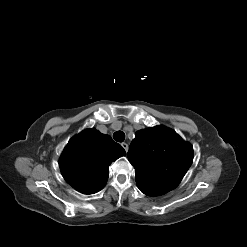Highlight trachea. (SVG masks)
I'll return each instance as SVG.
<instances>
[{"instance_id": "obj_1", "label": "trachea", "mask_w": 247, "mask_h": 247, "mask_svg": "<svg viewBox=\"0 0 247 247\" xmlns=\"http://www.w3.org/2000/svg\"><path fill=\"white\" fill-rule=\"evenodd\" d=\"M113 138L115 141L117 142H123L124 139H125V134L124 132L122 131H116L114 134H113Z\"/></svg>"}]
</instances>
